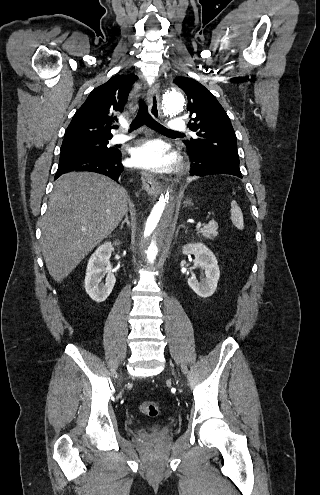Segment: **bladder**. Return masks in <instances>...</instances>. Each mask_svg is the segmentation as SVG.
<instances>
[{"label":"bladder","instance_id":"1","mask_svg":"<svg viewBox=\"0 0 320 495\" xmlns=\"http://www.w3.org/2000/svg\"><path fill=\"white\" fill-rule=\"evenodd\" d=\"M164 429H165V425H163V424H151L147 427V430H149L151 432L160 431V430H164Z\"/></svg>","mask_w":320,"mask_h":495}]
</instances>
